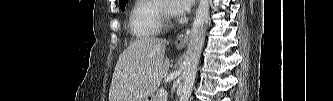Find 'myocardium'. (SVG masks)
Returning <instances> with one entry per match:
<instances>
[{
  "label": "myocardium",
  "mask_w": 333,
  "mask_h": 101,
  "mask_svg": "<svg viewBox=\"0 0 333 101\" xmlns=\"http://www.w3.org/2000/svg\"><path fill=\"white\" fill-rule=\"evenodd\" d=\"M159 14H160L161 21L163 22V24L165 26H171L172 25L171 17H170L169 11H167V7L165 5V2H161L159 4Z\"/></svg>",
  "instance_id": "1"
}]
</instances>
